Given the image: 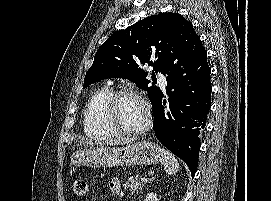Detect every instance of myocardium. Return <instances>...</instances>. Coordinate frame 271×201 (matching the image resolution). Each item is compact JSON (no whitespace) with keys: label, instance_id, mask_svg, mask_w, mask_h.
Wrapping results in <instances>:
<instances>
[{"label":"myocardium","instance_id":"1","mask_svg":"<svg viewBox=\"0 0 271 201\" xmlns=\"http://www.w3.org/2000/svg\"><path fill=\"white\" fill-rule=\"evenodd\" d=\"M127 97H131V98H135L139 100L143 104L144 109H145V114H146L145 122L140 128L136 130H129L122 127L119 124L116 117L115 112H116V107H117L118 102L121 99L127 98ZM104 113L112 129L115 131L117 135H120V136H139L145 133L151 127V124H152V115H151V111L147 102L144 100V98L141 95H139L137 92L130 89H122V90H118L112 93V95L109 97V99L106 102Z\"/></svg>","mask_w":271,"mask_h":201}]
</instances>
